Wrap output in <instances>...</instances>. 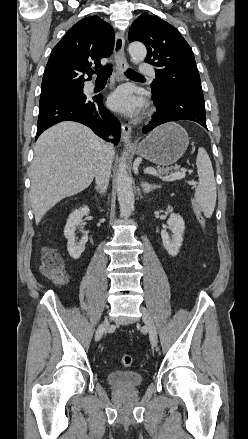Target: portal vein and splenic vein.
I'll return each mask as SVG.
<instances>
[{
  "label": "portal vein and splenic vein",
  "instance_id": "obj_1",
  "mask_svg": "<svg viewBox=\"0 0 248 439\" xmlns=\"http://www.w3.org/2000/svg\"><path fill=\"white\" fill-rule=\"evenodd\" d=\"M145 173H148V174H151V175H154V176H159L158 172L154 168H151V167L146 168ZM184 177H185V173L184 172H180V173L168 176V177H163V178L160 177V178L163 179L164 181H174L176 179H180V178L182 179Z\"/></svg>",
  "mask_w": 248,
  "mask_h": 439
}]
</instances>
